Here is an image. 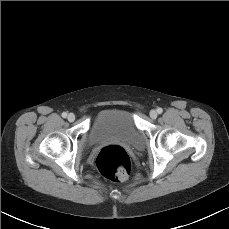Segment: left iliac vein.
<instances>
[{
	"label": "left iliac vein",
	"mask_w": 229,
	"mask_h": 229,
	"mask_svg": "<svg viewBox=\"0 0 229 229\" xmlns=\"http://www.w3.org/2000/svg\"><path fill=\"white\" fill-rule=\"evenodd\" d=\"M149 115L152 119H155L157 117V112L155 110H151Z\"/></svg>",
	"instance_id": "left-iliac-vein-1"
}]
</instances>
